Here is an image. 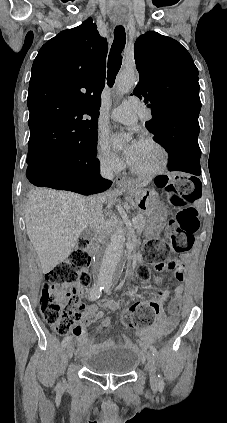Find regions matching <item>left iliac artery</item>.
Here are the masks:
<instances>
[{
  "instance_id": "44dca946",
  "label": "left iliac artery",
  "mask_w": 227,
  "mask_h": 423,
  "mask_svg": "<svg viewBox=\"0 0 227 423\" xmlns=\"http://www.w3.org/2000/svg\"><path fill=\"white\" fill-rule=\"evenodd\" d=\"M110 288H111V284L110 283H105L104 284V291L106 293L110 292ZM150 350L152 351V353H153V355L155 357H158V355H159L158 354V351H157V349L154 346H151L150 347ZM164 386H165V384H164V381H163V377H162L161 374H159L158 375V388H159V390L162 391L164 389Z\"/></svg>"
}]
</instances>
